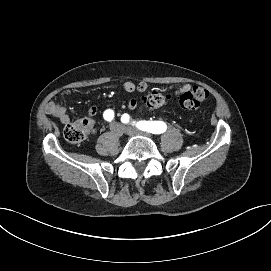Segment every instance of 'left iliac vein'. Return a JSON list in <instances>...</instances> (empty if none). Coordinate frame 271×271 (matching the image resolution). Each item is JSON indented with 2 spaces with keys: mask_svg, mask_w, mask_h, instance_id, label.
I'll return each instance as SVG.
<instances>
[{
  "mask_svg": "<svg viewBox=\"0 0 271 271\" xmlns=\"http://www.w3.org/2000/svg\"><path fill=\"white\" fill-rule=\"evenodd\" d=\"M124 131L130 135H142V136H145V137H148V138H151L152 135L149 134V133H146V132H142V131H139L137 129H133V128H130V127H127L125 126L124 127Z\"/></svg>",
  "mask_w": 271,
  "mask_h": 271,
  "instance_id": "obj_1",
  "label": "left iliac vein"
}]
</instances>
